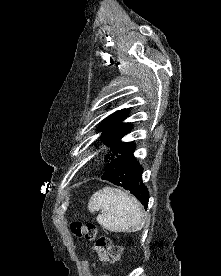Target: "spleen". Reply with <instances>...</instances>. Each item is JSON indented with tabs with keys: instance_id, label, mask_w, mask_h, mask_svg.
<instances>
[{
	"instance_id": "1",
	"label": "spleen",
	"mask_w": 221,
	"mask_h": 276,
	"mask_svg": "<svg viewBox=\"0 0 221 276\" xmlns=\"http://www.w3.org/2000/svg\"><path fill=\"white\" fill-rule=\"evenodd\" d=\"M88 210L91 213L104 211L96 220L110 232H136L145 224L144 213L137 199L113 187H104L94 193L89 200Z\"/></svg>"
}]
</instances>
